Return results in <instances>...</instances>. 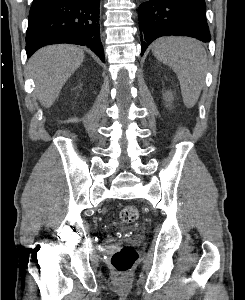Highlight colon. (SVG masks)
<instances>
[{"instance_id": "1", "label": "colon", "mask_w": 245, "mask_h": 300, "mask_svg": "<svg viewBox=\"0 0 245 300\" xmlns=\"http://www.w3.org/2000/svg\"><path fill=\"white\" fill-rule=\"evenodd\" d=\"M138 217L139 209L135 205H127L120 212V219L124 223H133ZM137 258V252L132 246H123L112 255L111 265L118 274L125 275L132 270Z\"/></svg>"}]
</instances>
